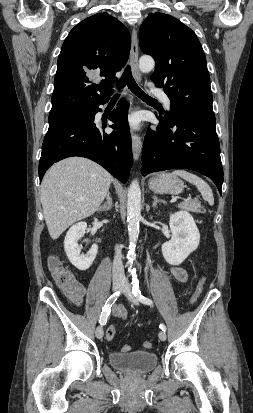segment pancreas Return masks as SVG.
<instances>
[{
  "instance_id": "cf45deb5",
  "label": "pancreas",
  "mask_w": 253,
  "mask_h": 413,
  "mask_svg": "<svg viewBox=\"0 0 253 413\" xmlns=\"http://www.w3.org/2000/svg\"><path fill=\"white\" fill-rule=\"evenodd\" d=\"M179 208L195 212V213H200L201 212V202L198 199H188L185 202H182L181 204L178 205Z\"/></svg>"
}]
</instances>
